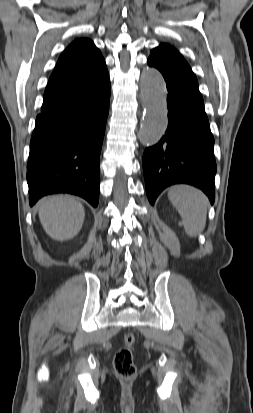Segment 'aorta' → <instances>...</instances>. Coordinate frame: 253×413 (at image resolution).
<instances>
[{"instance_id": "obj_1", "label": "aorta", "mask_w": 253, "mask_h": 413, "mask_svg": "<svg viewBox=\"0 0 253 413\" xmlns=\"http://www.w3.org/2000/svg\"><path fill=\"white\" fill-rule=\"evenodd\" d=\"M143 117L138 137L142 144L159 142L167 128V89L163 76L156 70L145 69L140 82Z\"/></svg>"}]
</instances>
